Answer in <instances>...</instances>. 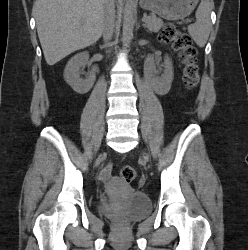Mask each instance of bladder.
Wrapping results in <instances>:
<instances>
[{"label": "bladder", "mask_w": 248, "mask_h": 250, "mask_svg": "<svg viewBox=\"0 0 248 250\" xmlns=\"http://www.w3.org/2000/svg\"><path fill=\"white\" fill-rule=\"evenodd\" d=\"M99 211L108 216L124 220H136L147 216L151 210L150 199L141 192H129L118 202L103 199L98 203Z\"/></svg>", "instance_id": "bladder-1"}]
</instances>
